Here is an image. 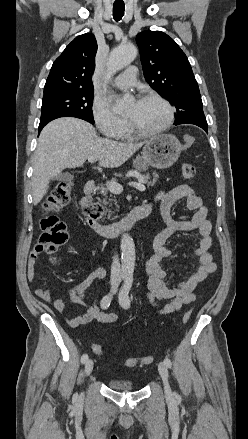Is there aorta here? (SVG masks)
<instances>
[{
  "mask_svg": "<svg viewBox=\"0 0 248 439\" xmlns=\"http://www.w3.org/2000/svg\"><path fill=\"white\" fill-rule=\"evenodd\" d=\"M137 56V48L132 44L121 45L113 49L107 62L105 78L110 79L116 72L129 65ZM129 104V98L123 97L115 100L113 111L123 112ZM121 271L125 276H132L135 266V244L133 238L124 233L121 237Z\"/></svg>",
  "mask_w": 248,
  "mask_h": 439,
  "instance_id": "aorta-1",
  "label": "aorta"
}]
</instances>
